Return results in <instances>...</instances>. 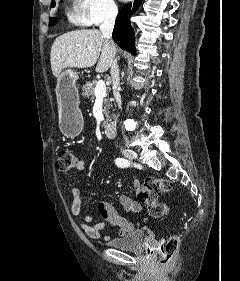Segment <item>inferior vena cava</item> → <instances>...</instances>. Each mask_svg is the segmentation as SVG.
I'll return each instance as SVG.
<instances>
[{
    "label": "inferior vena cava",
    "mask_w": 240,
    "mask_h": 281,
    "mask_svg": "<svg viewBox=\"0 0 240 281\" xmlns=\"http://www.w3.org/2000/svg\"><path fill=\"white\" fill-rule=\"evenodd\" d=\"M118 14V8L116 5H110L105 15L104 22L100 26V31L102 32L104 38L110 42L112 41V32L115 24V19ZM111 78H112V88H113V95L115 97L116 102L118 105L121 104V97L119 94V70L117 61L115 60V56L111 61Z\"/></svg>",
    "instance_id": "1"
}]
</instances>
